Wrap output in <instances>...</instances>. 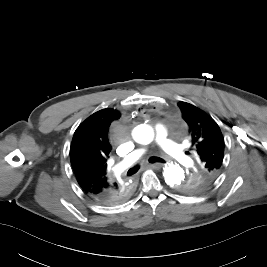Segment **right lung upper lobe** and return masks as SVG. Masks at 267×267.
Returning <instances> with one entry per match:
<instances>
[{
    "label": "right lung upper lobe",
    "instance_id": "cb5924a9",
    "mask_svg": "<svg viewBox=\"0 0 267 267\" xmlns=\"http://www.w3.org/2000/svg\"><path fill=\"white\" fill-rule=\"evenodd\" d=\"M119 117L116 110H100L81 123L74 133L70 161L76 179L87 195H98L119 184L108 178L106 163L112 149L108 129Z\"/></svg>",
    "mask_w": 267,
    "mask_h": 267
}]
</instances>
